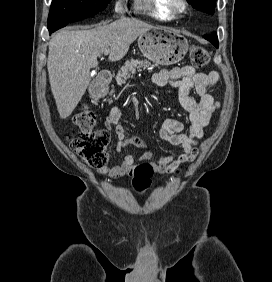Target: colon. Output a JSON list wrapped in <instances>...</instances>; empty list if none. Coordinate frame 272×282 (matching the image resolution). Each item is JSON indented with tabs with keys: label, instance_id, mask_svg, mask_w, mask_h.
Returning <instances> with one entry per match:
<instances>
[{
	"label": "colon",
	"instance_id": "obj_1",
	"mask_svg": "<svg viewBox=\"0 0 272 282\" xmlns=\"http://www.w3.org/2000/svg\"><path fill=\"white\" fill-rule=\"evenodd\" d=\"M190 61L195 67H204L209 62V54L204 48L193 45L190 50ZM73 122L80 131L68 137L69 148L89 166L95 169L104 168L109 159L110 134L107 130L93 131L98 122L96 112L90 106L83 105L80 111L74 114ZM149 172V165H140L136 169L133 184L136 186ZM145 184L143 182L141 188Z\"/></svg>",
	"mask_w": 272,
	"mask_h": 282
}]
</instances>
